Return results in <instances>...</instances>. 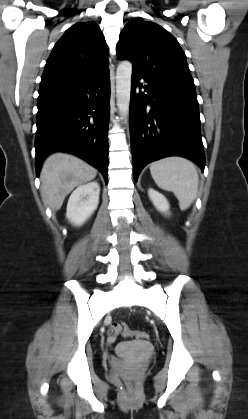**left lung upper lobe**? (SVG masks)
Here are the masks:
<instances>
[{
  "label": "left lung upper lobe",
  "instance_id": "obj_1",
  "mask_svg": "<svg viewBox=\"0 0 248 419\" xmlns=\"http://www.w3.org/2000/svg\"><path fill=\"white\" fill-rule=\"evenodd\" d=\"M117 57L130 60L133 71L195 90L184 51L175 37L156 23L131 20L120 33Z\"/></svg>",
  "mask_w": 248,
  "mask_h": 419
}]
</instances>
